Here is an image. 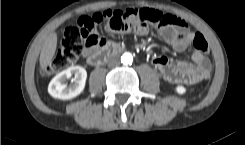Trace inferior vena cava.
I'll return each mask as SVG.
<instances>
[{
  "mask_svg": "<svg viewBox=\"0 0 245 145\" xmlns=\"http://www.w3.org/2000/svg\"><path fill=\"white\" fill-rule=\"evenodd\" d=\"M120 64L118 57H112L108 60V66L109 67H116Z\"/></svg>",
  "mask_w": 245,
  "mask_h": 145,
  "instance_id": "602c4592",
  "label": "inferior vena cava"
}]
</instances>
